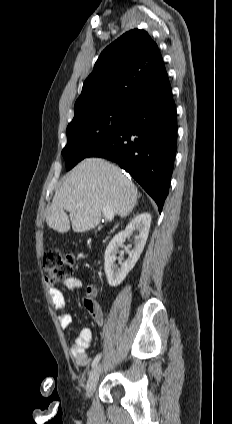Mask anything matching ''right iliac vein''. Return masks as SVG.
Segmentation results:
<instances>
[{"label": "right iliac vein", "mask_w": 232, "mask_h": 424, "mask_svg": "<svg viewBox=\"0 0 232 424\" xmlns=\"http://www.w3.org/2000/svg\"><path fill=\"white\" fill-rule=\"evenodd\" d=\"M100 371H101V366L97 365L90 373L88 381H87V385H86V396L88 398H90L96 388L98 379H99V375H100Z\"/></svg>", "instance_id": "right-iliac-vein-1"}]
</instances>
